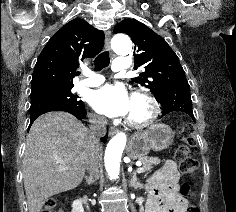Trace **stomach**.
Here are the masks:
<instances>
[{
    "label": "stomach",
    "mask_w": 236,
    "mask_h": 212,
    "mask_svg": "<svg viewBox=\"0 0 236 212\" xmlns=\"http://www.w3.org/2000/svg\"><path fill=\"white\" fill-rule=\"evenodd\" d=\"M173 139L174 132L168 125L154 124L131 137L128 154L131 158H139L146 155L151 149L161 151L168 148Z\"/></svg>",
    "instance_id": "0dacf381"
}]
</instances>
